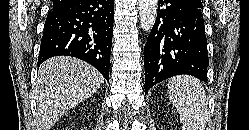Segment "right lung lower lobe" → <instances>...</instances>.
Instances as JSON below:
<instances>
[{"label": "right lung lower lobe", "mask_w": 249, "mask_h": 130, "mask_svg": "<svg viewBox=\"0 0 249 130\" xmlns=\"http://www.w3.org/2000/svg\"><path fill=\"white\" fill-rule=\"evenodd\" d=\"M114 0H73L45 21L38 65L73 56L93 65L109 81Z\"/></svg>", "instance_id": "obj_1"}]
</instances>
